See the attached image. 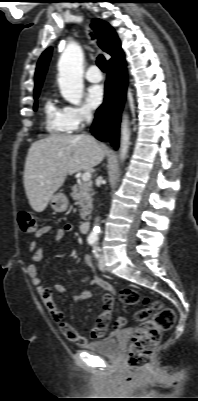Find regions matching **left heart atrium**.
<instances>
[{
    "instance_id": "left-heart-atrium-1",
    "label": "left heart atrium",
    "mask_w": 198,
    "mask_h": 401,
    "mask_svg": "<svg viewBox=\"0 0 198 401\" xmlns=\"http://www.w3.org/2000/svg\"><path fill=\"white\" fill-rule=\"evenodd\" d=\"M105 99V90L102 85L91 86L86 94V101L92 108L99 107Z\"/></svg>"
}]
</instances>
